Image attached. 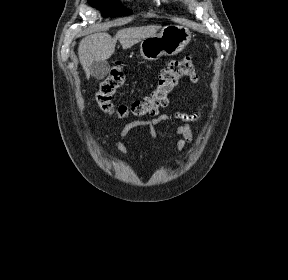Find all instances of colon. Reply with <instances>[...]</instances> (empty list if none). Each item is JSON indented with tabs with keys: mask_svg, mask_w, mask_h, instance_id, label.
<instances>
[{
	"mask_svg": "<svg viewBox=\"0 0 288 280\" xmlns=\"http://www.w3.org/2000/svg\"><path fill=\"white\" fill-rule=\"evenodd\" d=\"M182 78L196 82L198 71L190 56L171 61L158 75L157 86L140 100L130 105H114L112 98L125 82V74L120 65H114L96 93L100 109L109 115L126 118L130 115L142 117L154 115L168 103V95Z\"/></svg>",
	"mask_w": 288,
	"mask_h": 280,
	"instance_id": "obj_1",
	"label": "colon"
}]
</instances>
